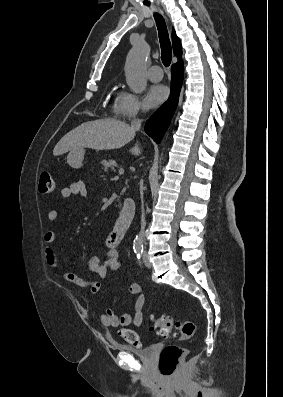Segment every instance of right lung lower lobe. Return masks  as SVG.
Returning a JSON list of instances; mask_svg holds the SVG:
<instances>
[{
  "instance_id": "98d812e1",
  "label": "right lung lower lobe",
  "mask_w": 283,
  "mask_h": 397,
  "mask_svg": "<svg viewBox=\"0 0 283 397\" xmlns=\"http://www.w3.org/2000/svg\"><path fill=\"white\" fill-rule=\"evenodd\" d=\"M171 94L169 100L158 110V112L151 117L145 125V132L154 141L159 143L166 132L171 118L176 110L179 93L183 80V63L179 60L171 68Z\"/></svg>"
}]
</instances>
